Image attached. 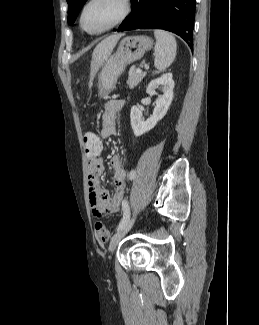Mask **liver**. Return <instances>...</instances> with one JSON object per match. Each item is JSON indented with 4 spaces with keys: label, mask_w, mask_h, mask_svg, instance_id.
Masks as SVG:
<instances>
[{
    "label": "liver",
    "mask_w": 259,
    "mask_h": 325,
    "mask_svg": "<svg viewBox=\"0 0 259 325\" xmlns=\"http://www.w3.org/2000/svg\"><path fill=\"white\" fill-rule=\"evenodd\" d=\"M123 36V34H114L111 35L104 40H102L94 49L92 54V62H91V75L92 77L98 71V69L102 66V64L106 61V59L110 56L114 47L116 46L119 39Z\"/></svg>",
    "instance_id": "liver-1"
}]
</instances>
